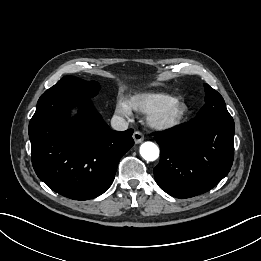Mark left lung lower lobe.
Returning <instances> with one entry per match:
<instances>
[{"mask_svg": "<svg viewBox=\"0 0 261 261\" xmlns=\"http://www.w3.org/2000/svg\"><path fill=\"white\" fill-rule=\"evenodd\" d=\"M233 119L191 120L152 135L160 145L154 168L159 187L177 198L212 189L230 171L234 157Z\"/></svg>", "mask_w": 261, "mask_h": 261, "instance_id": "0a47b994", "label": "left lung lower lobe"}]
</instances>
